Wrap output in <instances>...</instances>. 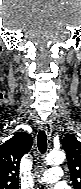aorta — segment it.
<instances>
[{
	"label": "aorta",
	"instance_id": "1",
	"mask_svg": "<svg viewBox=\"0 0 81 189\" xmlns=\"http://www.w3.org/2000/svg\"><path fill=\"white\" fill-rule=\"evenodd\" d=\"M65 160V153L63 151H51L45 158V162L49 165L61 164Z\"/></svg>",
	"mask_w": 81,
	"mask_h": 189
}]
</instances>
